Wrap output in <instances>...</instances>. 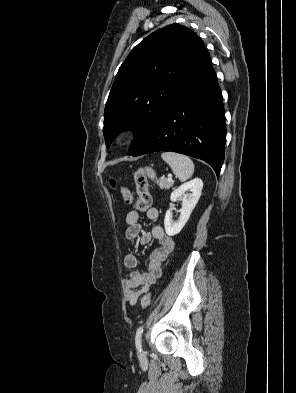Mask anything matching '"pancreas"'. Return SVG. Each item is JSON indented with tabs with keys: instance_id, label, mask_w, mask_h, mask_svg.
<instances>
[{
	"instance_id": "pancreas-1",
	"label": "pancreas",
	"mask_w": 296,
	"mask_h": 393,
	"mask_svg": "<svg viewBox=\"0 0 296 393\" xmlns=\"http://www.w3.org/2000/svg\"><path fill=\"white\" fill-rule=\"evenodd\" d=\"M157 184L160 189H169L172 187L173 182H169L166 178L161 177L159 180H157Z\"/></svg>"
}]
</instances>
